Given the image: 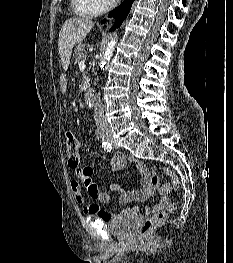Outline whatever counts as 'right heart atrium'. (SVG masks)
Here are the masks:
<instances>
[{"instance_id": "right-heart-atrium-1", "label": "right heart atrium", "mask_w": 233, "mask_h": 263, "mask_svg": "<svg viewBox=\"0 0 233 263\" xmlns=\"http://www.w3.org/2000/svg\"><path fill=\"white\" fill-rule=\"evenodd\" d=\"M94 14H101L116 6L118 0H85Z\"/></svg>"}]
</instances>
